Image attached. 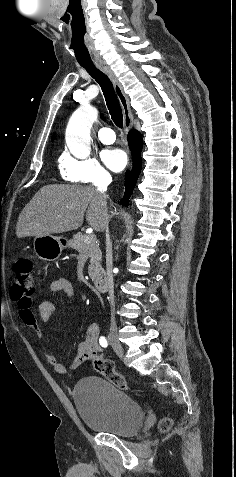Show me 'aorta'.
Instances as JSON below:
<instances>
[{
	"label": "aorta",
	"instance_id": "obj_1",
	"mask_svg": "<svg viewBox=\"0 0 236 477\" xmlns=\"http://www.w3.org/2000/svg\"><path fill=\"white\" fill-rule=\"evenodd\" d=\"M98 111L90 106H81L71 116L66 129V143L71 152L79 157L90 154V129Z\"/></svg>",
	"mask_w": 236,
	"mask_h": 477
}]
</instances>
